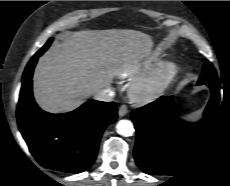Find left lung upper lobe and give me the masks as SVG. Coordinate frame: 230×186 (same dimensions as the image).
<instances>
[{"label":"left lung upper lobe","instance_id":"obj_1","mask_svg":"<svg viewBox=\"0 0 230 186\" xmlns=\"http://www.w3.org/2000/svg\"><path fill=\"white\" fill-rule=\"evenodd\" d=\"M210 83H219L216 75V71L212 64L209 61H206L203 66V73L201 74L198 84H210Z\"/></svg>","mask_w":230,"mask_h":186}]
</instances>
